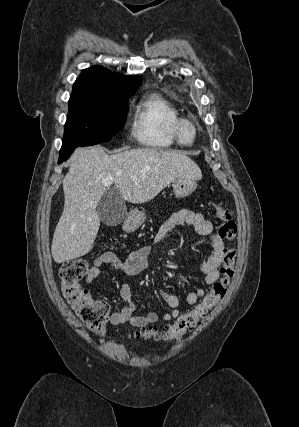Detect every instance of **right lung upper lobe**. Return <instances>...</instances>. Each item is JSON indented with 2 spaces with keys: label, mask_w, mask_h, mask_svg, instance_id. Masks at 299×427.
<instances>
[{
  "label": "right lung upper lobe",
  "mask_w": 299,
  "mask_h": 427,
  "mask_svg": "<svg viewBox=\"0 0 299 427\" xmlns=\"http://www.w3.org/2000/svg\"><path fill=\"white\" fill-rule=\"evenodd\" d=\"M140 83L139 76H124L101 66H92L82 70L74 82L69 101L130 97Z\"/></svg>",
  "instance_id": "right-lung-upper-lobe-1"
}]
</instances>
